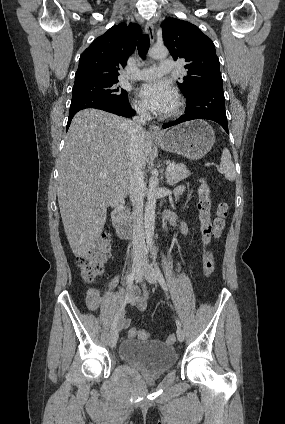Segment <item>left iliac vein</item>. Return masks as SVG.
Instances as JSON below:
<instances>
[{"mask_svg":"<svg viewBox=\"0 0 285 424\" xmlns=\"http://www.w3.org/2000/svg\"><path fill=\"white\" fill-rule=\"evenodd\" d=\"M143 261H144V264L149 265L147 254H144ZM145 278L151 284L157 283V275L153 269H150L147 271ZM176 335H177L178 341L182 342L184 340V332L181 328H177Z\"/></svg>","mask_w":285,"mask_h":424,"instance_id":"1","label":"left iliac vein"}]
</instances>
